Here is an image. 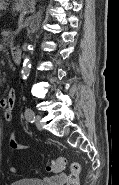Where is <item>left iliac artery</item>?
<instances>
[{"instance_id":"obj_1","label":"left iliac artery","mask_w":119,"mask_h":185,"mask_svg":"<svg viewBox=\"0 0 119 185\" xmlns=\"http://www.w3.org/2000/svg\"><path fill=\"white\" fill-rule=\"evenodd\" d=\"M25 118L27 121L33 123L35 120V114L31 108L25 110Z\"/></svg>"}]
</instances>
